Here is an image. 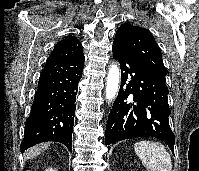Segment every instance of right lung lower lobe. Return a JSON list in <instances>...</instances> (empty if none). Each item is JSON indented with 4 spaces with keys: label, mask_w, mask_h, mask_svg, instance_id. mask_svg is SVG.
<instances>
[{
    "label": "right lung lower lobe",
    "mask_w": 199,
    "mask_h": 171,
    "mask_svg": "<svg viewBox=\"0 0 199 171\" xmlns=\"http://www.w3.org/2000/svg\"><path fill=\"white\" fill-rule=\"evenodd\" d=\"M84 61V55L46 61L25 122L21 152L45 141L60 142L72 151L75 102Z\"/></svg>",
    "instance_id": "right-lung-lower-lobe-1"
}]
</instances>
